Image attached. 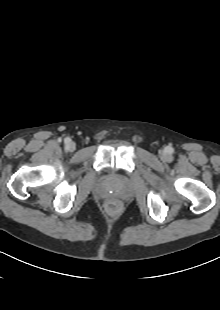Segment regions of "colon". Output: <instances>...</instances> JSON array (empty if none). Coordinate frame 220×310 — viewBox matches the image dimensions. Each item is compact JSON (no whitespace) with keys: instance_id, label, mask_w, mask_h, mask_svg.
Segmentation results:
<instances>
[{"instance_id":"obj_1","label":"colon","mask_w":220,"mask_h":310,"mask_svg":"<svg viewBox=\"0 0 220 310\" xmlns=\"http://www.w3.org/2000/svg\"><path fill=\"white\" fill-rule=\"evenodd\" d=\"M106 207L110 212L113 213L117 212L120 209V205L117 202H109Z\"/></svg>"}]
</instances>
